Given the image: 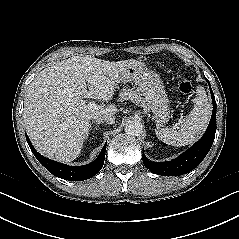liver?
Masks as SVG:
<instances>
[{
    "instance_id": "6515ba94",
    "label": "liver",
    "mask_w": 239,
    "mask_h": 239,
    "mask_svg": "<svg viewBox=\"0 0 239 239\" xmlns=\"http://www.w3.org/2000/svg\"><path fill=\"white\" fill-rule=\"evenodd\" d=\"M129 61L73 56L45 68L32 81L24 103V125L42 155L71 162L80 154L93 116L116 108L89 109L83 98L110 101ZM88 87V89H87Z\"/></svg>"
}]
</instances>
